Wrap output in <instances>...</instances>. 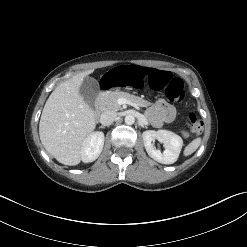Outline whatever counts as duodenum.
Masks as SVG:
<instances>
[{
  "label": "duodenum",
  "instance_id": "duodenum-1",
  "mask_svg": "<svg viewBox=\"0 0 247 247\" xmlns=\"http://www.w3.org/2000/svg\"><path fill=\"white\" fill-rule=\"evenodd\" d=\"M95 110H96V112H99V111L101 110V107H100V105H99V104H96V106H95Z\"/></svg>",
  "mask_w": 247,
  "mask_h": 247
}]
</instances>
